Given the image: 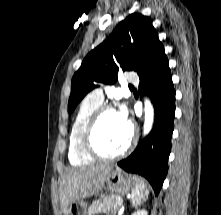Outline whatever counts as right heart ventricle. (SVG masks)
I'll list each match as a JSON object with an SVG mask.
<instances>
[{
    "mask_svg": "<svg viewBox=\"0 0 221 215\" xmlns=\"http://www.w3.org/2000/svg\"><path fill=\"white\" fill-rule=\"evenodd\" d=\"M101 105L102 102L88 95L83 99L75 114L68 140V160L72 165H88L94 161L82 147V134L88 120Z\"/></svg>",
    "mask_w": 221,
    "mask_h": 215,
    "instance_id": "right-heart-ventricle-1",
    "label": "right heart ventricle"
}]
</instances>
